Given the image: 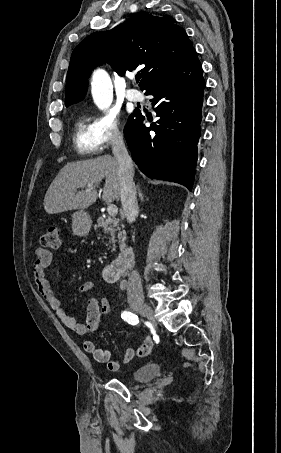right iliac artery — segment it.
I'll use <instances>...</instances> for the list:
<instances>
[{"mask_svg": "<svg viewBox=\"0 0 281 453\" xmlns=\"http://www.w3.org/2000/svg\"><path fill=\"white\" fill-rule=\"evenodd\" d=\"M121 317H122V319H124L126 322H128L131 325H136L139 323L138 316L131 312L124 311L121 314Z\"/></svg>", "mask_w": 281, "mask_h": 453, "instance_id": "obj_1", "label": "right iliac artery"}]
</instances>
